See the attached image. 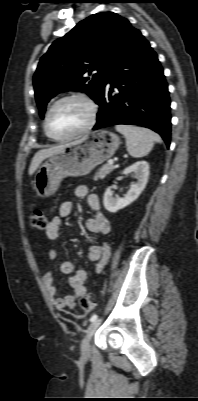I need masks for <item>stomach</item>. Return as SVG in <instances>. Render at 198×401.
<instances>
[{
    "label": "stomach",
    "mask_w": 198,
    "mask_h": 401,
    "mask_svg": "<svg viewBox=\"0 0 198 401\" xmlns=\"http://www.w3.org/2000/svg\"><path fill=\"white\" fill-rule=\"evenodd\" d=\"M120 138L109 130H98L68 143L49 157L36 173L34 188L40 198L55 193L66 177L87 175L94 167L111 158Z\"/></svg>",
    "instance_id": "obj_1"
}]
</instances>
